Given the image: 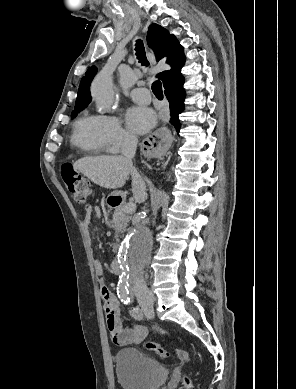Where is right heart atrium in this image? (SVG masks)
<instances>
[{"mask_svg":"<svg viewBox=\"0 0 296 389\" xmlns=\"http://www.w3.org/2000/svg\"><path fill=\"white\" fill-rule=\"evenodd\" d=\"M101 127L107 150L110 152H118L134 141V137L123 127L116 116H101Z\"/></svg>","mask_w":296,"mask_h":389,"instance_id":"right-heart-atrium-1","label":"right heart atrium"}]
</instances>
